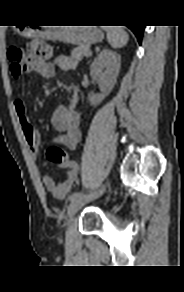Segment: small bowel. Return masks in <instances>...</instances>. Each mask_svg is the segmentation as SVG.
<instances>
[{"instance_id": "obj_1", "label": "small bowel", "mask_w": 184, "mask_h": 292, "mask_svg": "<svg viewBox=\"0 0 184 292\" xmlns=\"http://www.w3.org/2000/svg\"><path fill=\"white\" fill-rule=\"evenodd\" d=\"M76 61L65 55L58 56L54 62H43L32 68V71L41 78H52L55 75L56 67L70 70L75 68ZM77 101V94L74 92L68 99L67 105L59 106L53 116L52 125L56 132L54 142L74 150L80 139V116L74 110ZM14 108L19 118V122L23 131L24 139L32 155H37L40 145V137L31 122V118L26 111L23 100L14 101ZM65 169L64 180L60 183L50 176H44L42 179L44 187L56 198H63L70 193L76 184L79 173V166L75 161H69L61 165Z\"/></svg>"}]
</instances>
